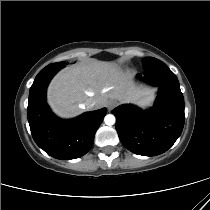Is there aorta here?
I'll return each mask as SVG.
<instances>
[{
	"mask_svg": "<svg viewBox=\"0 0 210 210\" xmlns=\"http://www.w3.org/2000/svg\"><path fill=\"white\" fill-rule=\"evenodd\" d=\"M115 121H116L115 116L112 114H108L104 118L105 124L109 125V126L113 125L115 123Z\"/></svg>",
	"mask_w": 210,
	"mask_h": 210,
	"instance_id": "aorta-1",
	"label": "aorta"
}]
</instances>
